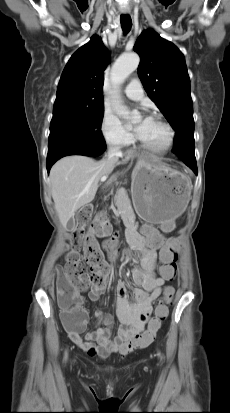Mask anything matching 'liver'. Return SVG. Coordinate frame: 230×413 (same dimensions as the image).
I'll use <instances>...</instances> for the list:
<instances>
[{
	"label": "liver",
	"mask_w": 230,
	"mask_h": 413,
	"mask_svg": "<svg viewBox=\"0 0 230 413\" xmlns=\"http://www.w3.org/2000/svg\"><path fill=\"white\" fill-rule=\"evenodd\" d=\"M117 161L75 155L56 162L50 171L51 192L55 210L64 228L75 212L90 203L97 192L102 176L113 171Z\"/></svg>",
	"instance_id": "obj_1"
}]
</instances>
